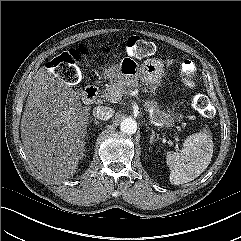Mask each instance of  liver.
I'll return each mask as SVG.
<instances>
[{
	"instance_id": "1",
	"label": "liver",
	"mask_w": 241,
	"mask_h": 241,
	"mask_svg": "<svg viewBox=\"0 0 241 241\" xmlns=\"http://www.w3.org/2000/svg\"><path fill=\"white\" fill-rule=\"evenodd\" d=\"M79 92L45 68L39 69L21 119L27 157L42 177L58 183L75 174L84 156L90 106Z\"/></svg>"
}]
</instances>
